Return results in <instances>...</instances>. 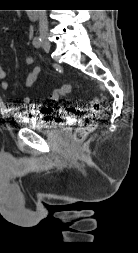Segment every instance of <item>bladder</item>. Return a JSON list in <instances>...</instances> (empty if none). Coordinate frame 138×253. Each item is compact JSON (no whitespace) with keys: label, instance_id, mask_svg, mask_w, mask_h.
<instances>
[{"label":"bladder","instance_id":"obj_1","mask_svg":"<svg viewBox=\"0 0 138 253\" xmlns=\"http://www.w3.org/2000/svg\"><path fill=\"white\" fill-rule=\"evenodd\" d=\"M33 108L36 109V106ZM48 111V110H47ZM50 112H48L49 114ZM19 122L29 129L37 132H50L54 128L58 127V124L47 119V114L43 111H20Z\"/></svg>","mask_w":138,"mask_h":253}]
</instances>
